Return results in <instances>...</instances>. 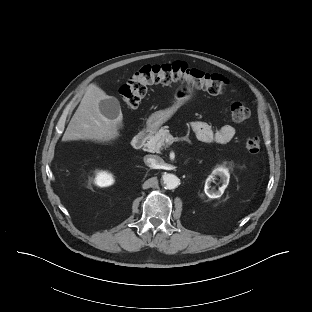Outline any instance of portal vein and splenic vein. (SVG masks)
<instances>
[{
	"label": "portal vein and splenic vein",
	"instance_id": "1",
	"mask_svg": "<svg viewBox=\"0 0 312 312\" xmlns=\"http://www.w3.org/2000/svg\"><path fill=\"white\" fill-rule=\"evenodd\" d=\"M167 142L173 143L174 138L172 135H169V137L166 139Z\"/></svg>",
	"mask_w": 312,
	"mask_h": 312
}]
</instances>
